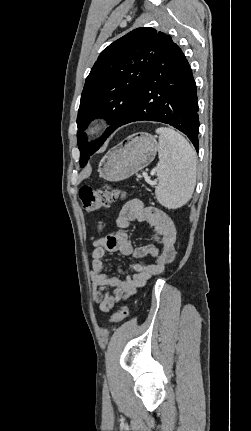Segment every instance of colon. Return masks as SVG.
<instances>
[{
	"instance_id": "obj_1",
	"label": "colon",
	"mask_w": 251,
	"mask_h": 431,
	"mask_svg": "<svg viewBox=\"0 0 251 431\" xmlns=\"http://www.w3.org/2000/svg\"><path fill=\"white\" fill-rule=\"evenodd\" d=\"M124 196V192L109 185L102 189H93L90 186H82L79 190V197L83 209L88 213H93L99 209L110 206L114 201ZM129 314V308L123 304L118 311L111 317L110 322L113 324L120 323Z\"/></svg>"
}]
</instances>
